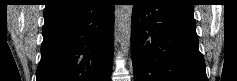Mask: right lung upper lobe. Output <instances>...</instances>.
<instances>
[{
    "mask_svg": "<svg viewBox=\"0 0 237 81\" xmlns=\"http://www.w3.org/2000/svg\"><path fill=\"white\" fill-rule=\"evenodd\" d=\"M77 1L78 0H49L45 6L44 13L70 6Z\"/></svg>",
    "mask_w": 237,
    "mask_h": 81,
    "instance_id": "right-lung-upper-lobe-1",
    "label": "right lung upper lobe"
}]
</instances>
